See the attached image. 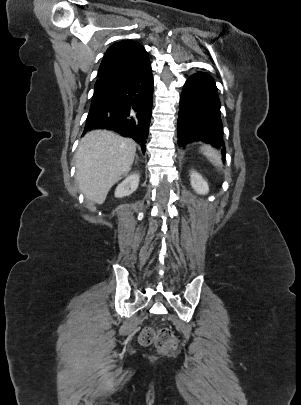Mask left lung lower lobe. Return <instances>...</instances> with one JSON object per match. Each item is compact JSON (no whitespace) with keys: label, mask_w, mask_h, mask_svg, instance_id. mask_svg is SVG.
Returning <instances> with one entry per match:
<instances>
[{"label":"left lung lower lobe","mask_w":301,"mask_h":405,"mask_svg":"<svg viewBox=\"0 0 301 405\" xmlns=\"http://www.w3.org/2000/svg\"><path fill=\"white\" fill-rule=\"evenodd\" d=\"M192 142L210 144L226 155L217 87L203 72L186 81L180 98L178 144L181 147Z\"/></svg>","instance_id":"1"}]
</instances>
